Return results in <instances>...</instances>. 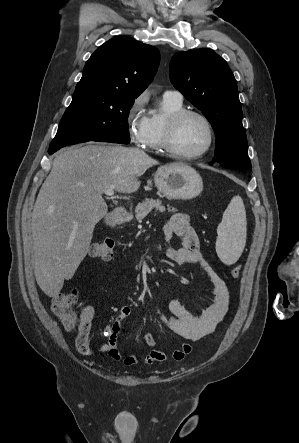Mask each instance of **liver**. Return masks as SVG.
I'll list each match as a JSON object with an SVG mask.
<instances>
[{
	"mask_svg": "<svg viewBox=\"0 0 299 443\" xmlns=\"http://www.w3.org/2000/svg\"><path fill=\"white\" fill-rule=\"evenodd\" d=\"M158 161L138 148L89 144L57 154L32 213L34 274L49 297L61 291L86 256L95 225L107 214L104 190L136 192Z\"/></svg>",
	"mask_w": 299,
	"mask_h": 443,
	"instance_id": "obj_1",
	"label": "liver"
}]
</instances>
